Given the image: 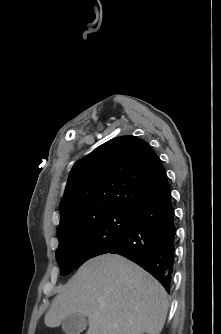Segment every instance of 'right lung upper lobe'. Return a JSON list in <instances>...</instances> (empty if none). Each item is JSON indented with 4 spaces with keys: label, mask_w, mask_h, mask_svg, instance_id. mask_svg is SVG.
<instances>
[{
    "label": "right lung upper lobe",
    "mask_w": 221,
    "mask_h": 334,
    "mask_svg": "<svg viewBox=\"0 0 221 334\" xmlns=\"http://www.w3.org/2000/svg\"><path fill=\"white\" fill-rule=\"evenodd\" d=\"M166 183L164 167L149 144L134 136L112 139L73 166L60 202L58 237L98 215L133 214Z\"/></svg>",
    "instance_id": "1"
}]
</instances>
